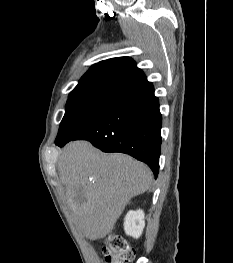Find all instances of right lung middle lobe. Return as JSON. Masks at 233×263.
<instances>
[{"label": "right lung middle lobe", "instance_id": "obj_1", "mask_svg": "<svg viewBox=\"0 0 233 263\" xmlns=\"http://www.w3.org/2000/svg\"><path fill=\"white\" fill-rule=\"evenodd\" d=\"M117 95H69L66 112L56 140H69L94 124L111 106Z\"/></svg>", "mask_w": 233, "mask_h": 263}]
</instances>
